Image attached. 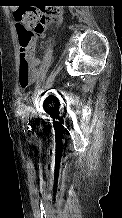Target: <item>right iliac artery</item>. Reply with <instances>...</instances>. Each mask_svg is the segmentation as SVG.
<instances>
[{
    "label": "right iliac artery",
    "instance_id": "1",
    "mask_svg": "<svg viewBox=\"0 0 122 218\" xmlns=\"http://www.w3.org/2000/svg\"><path fill=\"white\" fill-rule=\"evenodd\" d=\"M29 106H26V109H25V112H24V115L22 117V121H23V127L27 130H31V127L29 125V120H28V110H29Z\"/></svg>",
    "mask_w": 122,
    "mask_h": 218
}]
</instances>
